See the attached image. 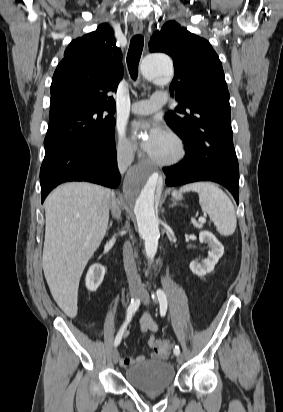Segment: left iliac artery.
Masks as SVG:
<instances>
[{
    "label": "left iliac artery",
    "instance_id": "1",
    "mask_svg": "<svg viewBox=\"0 0 283 412\" xmlns=\"http://www.w3.org/2000/svg\"><path fill=\"white\" fill-rule=\"evenodd\" d=\"M152 298L154 300L158 299L159 306H160V315L165 316L166 311H167V297L165 293L161 289H157L156 293L152 294ZM173 352L175 355H179L180 354L179 346H175Z\"/></svg>",
    "mask_w": 283,
    "mask_h": 412
}]
</instances>
